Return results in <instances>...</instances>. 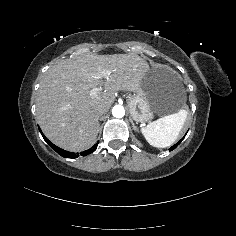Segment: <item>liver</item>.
I'll use <instances>...</instances> for the list:
<instances>
[{
  "label": "liver",
  "instance_id": "1",
  "mask_svg": "<svg viewBox=\"0 0 236 236\" xmlns=\"http://www.w3.org/2000/svg\"><path fill=\"white\" fill-rule=\"evenodd\" d=\"M150 68L141 56L84 53L49 68L38 89L36 121L43 134L61 149L91 148L99 132L96 109L107 113L118 90L136 91ZM109 69L111 72L102 76ZM100 87L96 96L89 90Z\"/></svg>",
  "mask_w": 236,
  "mask_h": 236
}]
</instances>
